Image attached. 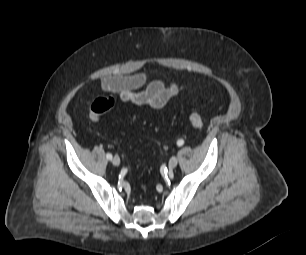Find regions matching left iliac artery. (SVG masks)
Returning <instances> with one entry per match:
<instances>
[{"mask_svg": "<svg viewBox=\"0 0 306 255\" xmlns=\"http://www.w3.org/2000/svg\"><path fill=\"white\" fill-rule=\"evenodd\" d=\"M184 144V140L183 139H179L178 141H177V145L178 146H182Z\"/></svg>", "mask_w": 306, "mask_h": 255, "instance_id": "obj_1", "label": "left iliac artery"}]
</instances>
